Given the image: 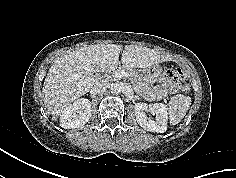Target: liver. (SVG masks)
<instances>
[{"instance_id": "obj_1", "label": "liver", "mask_w": 236, "mask_h": 178, "mask_svg": "<svg viewBox=\"0 0 236 178\" xmlns=\"http://www.w3.org/2000/svg\"><path fill=\"white\" fill-rule=\"evenodd\" d=\"M120 53V45L105 43L69 51L57 59L51 65L42 88L48 112L61 116L71 102L104 80L100 72L113 71L118 67ZM171 60L167 54L136 45H126L121 57L126 69H145Z\"/></svg>"}]
</instances>
